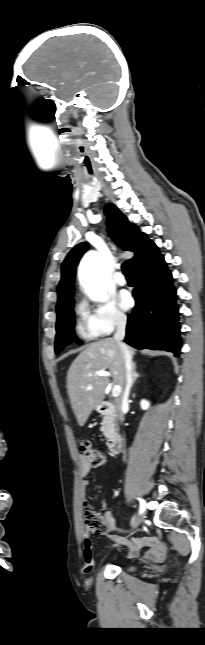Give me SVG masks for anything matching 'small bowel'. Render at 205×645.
Masks as SVG:
<instances>
[{
	"label": "small bowel",
	"instance_id": "small-bowel-1",
	"mask_svg": "<svg viewBox=\"0 0 205 645\" xmlns=\"http://www.w3.org/2000/svg\"><path fill=\"white\" fill-rule=\"evenodd\" d=\"M91 466L88 462L82 457L80 459V476L82 478L81 485L86 488L89 485V480L87 476L90 473ZM84 507L88 506L86 500L83 501ZM104 520L110 531H116L115 520L110 512L104 514ZM85 536V547L83 551L84 562L87 566L91 567L94 565V558L91 550V544L88 539V530L84 532ZM124 544L128 548L127 557L130 559L137 558L139 556L140 550L142 548H148L146 554L143 556V559L146 561H161L166 552L165 542L158 537H132L124 539Z\"/></svg>",
	"mask_w": 205,
	"mask_h": 645
}]
</instances>
